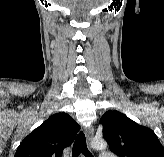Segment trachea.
<instances>
[{"mask_svg":"<svg viewBox=\"0 0 164 157\" xmlns=\"http://www.w3.org/2000/svg\"><path fill=\"white\" fill-rule=\"evenodd\" d=\"M82 153L85 157H92L86 145V138L83 132H80L74 142L72 157H78Z\"/></svg>","mask_w":164,"mask_h":157,"instance_id":"obj_1","label":"trachea"}]
</instances>
